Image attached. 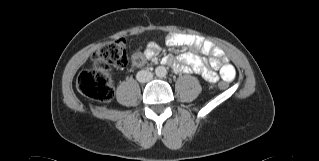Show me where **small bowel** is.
Segmentation results:
<instances>
[{
  "mask_svg": "<svg viewBox=\"0 0 319 161\" xmlns=\"http://www.w3.org/2000/svg\"><path fill=\"white\" fill-rule=\"evenodd\" d=\"M166 42L170 46H188L191 51L177 55L175 58L167 57L165 62L170 64L174 71L189 73L194 71L209 82H216L218 75L215 70H219L220 77L225 81H231L235 77V68L224 56L222 49L214 46L210 41L204 40L199 36L188 33H171L166 36ZM157 43L151 41L147 44L148 56H154L157 52ZM212 57L207 66L206 61L199 55ZM180 62L183 65H177Z\"/></svg>",
  "mask_w": 319,
  "mask_h": 161,
  "instance_id": "small-bowel-1",
  "label": "small bowel"
}]
</instances>
